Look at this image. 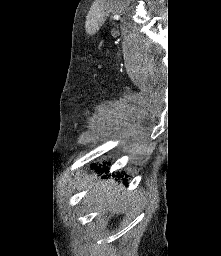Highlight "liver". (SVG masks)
Here are the masks:
<instances>
[{
  "instance_id": "1",
  "label": "liver",
  "mask_w": 221,
  "mask_h": 256,
  "mask_svg": "<svg viewBox=\"0 0 221 256\" xmlns=\"http://www.w3.org/2000/svg\"><path fill=\"white\" fill-rule=\"evenodd\" d=\"M93 184L88 193L91 202L98 207H107L113 213H124L127 210L126 196L118 199V195L124 190L123 185L114 179L97 181V175L90 176L82 183V188Z\"/></svg>"
}]
</instances>
